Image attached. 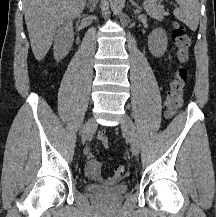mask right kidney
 <instances>
[{
  "label": "right kidney",
  "mask_w": 216,
  "mask_h": 217,
  "mask_svg": "<svg viewBox=\"0 0 216 217\" xmlns=\"http://www.w3.org/2000/svg\"><path fill=\"white\" fill-rule=\"evenodd\" d=\"M74 41L73 25L69 21L60 27L55 35L54 58L56 61L63 59L70 51Z\"/></svg>",
  "instance_id": "obj_1"
}]
</instances>
